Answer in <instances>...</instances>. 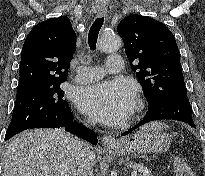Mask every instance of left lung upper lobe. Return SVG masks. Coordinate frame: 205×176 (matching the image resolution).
I'll list each match as a JSON object with an SVG mask.
<instances>
[{"label":"left lung upper lobe","mask_w":205,"mask_h":176,"mask_svg":"<svg viewBox=\"0 0 205 176\" xmlns=\"http://www.w3.org/2000/svg\"><path fill=\"white\" fill-rule=\"evenodd\" d=\"M125 52L149 103L186 91L180 53L171 31L148 16L129 15L118 25ZM138 64L133 65L132 62Z\"/></svg>","instance_id":"1"}]
</instances>
